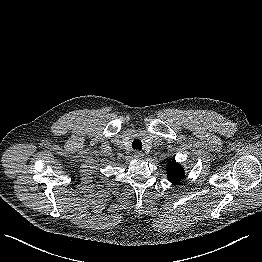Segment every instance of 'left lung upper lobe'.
<instances>
[{
    "instance_id": "obj_1",
    "label": "left lung upper lobe",
    "mask_w": 262,
    "mask_h": 262,
    "mask_svg": "<svg viewBox=\"0 0 262 262\" xmlns=\"http://www.w3.org/2000/svg\"><path fill=\"white\" fill-rule=\"evenodd\" d=\"M168 180L174 184H178L184 177V169L175 161H169L166 167Z\"/></svg>"
}]
</instances>
